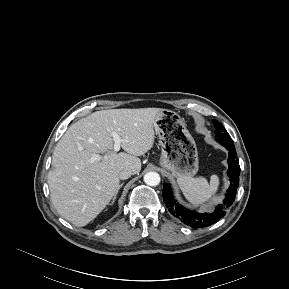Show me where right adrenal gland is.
I'll return each mask as SVG.
<instances>
[{
    "instance_id": "2a0ac1e0",
    "label": "right adrenal gland",
    "mask_w": 289,
    "mask_h": 289,
    "mask_svg": "<svg viewBox=\"0 0 289 289\" xmlns=\"http://www.w3.org/2000/svg\"><path fill=\"white\" fill-rule=\"evenodd\" d=\"M123 185H124V183L119 184V186H118V188H117V190H116V192H115V194H114V196H113V198H112L111 205L114 204L115 199H116V197H117V194H118L120 188H121Z\"/></svg>"
}]
</instances>
